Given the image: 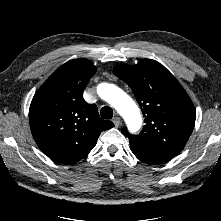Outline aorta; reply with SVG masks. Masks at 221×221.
<instances>
[{"mask_svg":"<svg viewBox=\"0 0 221 221\" xmlns=\"http://www.w3.org/2000/svg\"><path fill=\"white\" fill-rule=\"evenodd\" d=\"M97 92L123 117L130 132L135 133L140 129L142 125L140 110L124 91L114 84L101 83L97 87Z\"/></svg>","mask_w":221,"mask_h":221,"instance_id":"obj_1","label":"aorta"}]
</instances>
